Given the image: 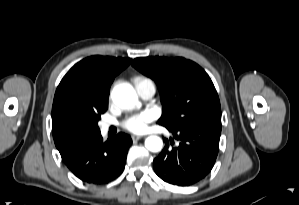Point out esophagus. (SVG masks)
Masks as SVG:
<instances>
[{"label": "esophagus", "mask_w": 299, "mask_h": 205, "mask_svg": "<svg viewBox=\"0 0 299 205\" xmlns=\"http://www.w3.org/2000/svg\"><path fill=\"white\" fill-rule=\"evenodd\" d=\"M143 136H140V135H132L131 138L133 141H138L142 138Z\"/></svg>", "instance_id": "obj_1"}]
</instances>
